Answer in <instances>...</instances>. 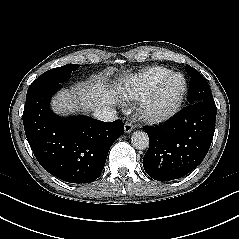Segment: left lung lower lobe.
I'll return each mask as SVG.
<instances>
[{
  "label": "left lung lower lobe",
  "instance_id": "left-lung-lower-lobe-1",
  "mask_svg": "<svg viewBox=\"0 0 239 239\" xmlns=\"http://www.w3.org/2000/svg\"><path fill=\"white\" fill-rule=\"evenodd\" d=\"M216 105L199 101L166 124L145 127L150 145L143 158L146 173L157 181L185 176L205 158L215 131Z\"/></svg>",
  "mask_w": 239,
  "mask_h": 239
}]
</instances>
